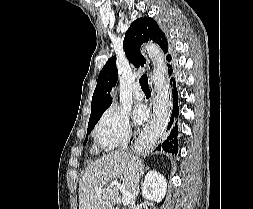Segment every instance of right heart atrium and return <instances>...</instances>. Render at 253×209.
<instances>
[{
    "mask_svg": "<svg viewBox=\"0 0 253 209\" xmlns=\"http://www.w3.org/2000/svg\"><path fill=\"white\" fill-rule=\"evenodd\" d=\"M132 134L128 114L118 107L107 109L99 118L93 132L96 145L104 151L127 143Z\"/></svg>",
    "mask_w": 253,
    "mask_h": 209,
    "instance_id": "d8ad5b80",
    "label": "right heart atrium"
}]
</instances>
